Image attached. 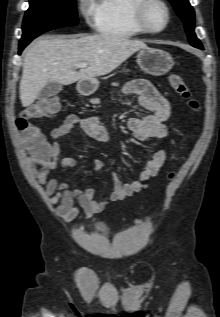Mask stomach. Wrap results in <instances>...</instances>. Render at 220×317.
<instances>
[{
  "label": "stomach",
  "instance_id": "1",
  "mask_svg": "<svg viewBox=\"0 0 220 317\" xmlns=\"http://www.w3.org/2000/svg\"><path fill=\"white\" fill-rule=\"evenodd\" d=\"M137 64L146 73L160 76L166 74L174 65L172 56L161 49L144 48L137 55ZM99 86L97 79L80 80L78 88L82 93L92 94Z\"/></svg>",
  "mask_w": 220,
  "mask_h": 317
}]
</instances>
